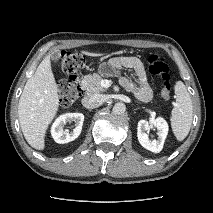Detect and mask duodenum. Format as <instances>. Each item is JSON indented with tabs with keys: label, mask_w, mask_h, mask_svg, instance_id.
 <instances>
[{
	"label": "duodenum",
	"mask_w": 213,
	"mask_h": 213,
	"mask_svg": "<svg viewBox=\"0 0 213 213\" xmlns=\"http://www.w3.org/2000/svg\"><path fill=\"white\" fill-rule=\"evenodd\" d=\"M81 90H82V92L84 93V87H83V86H81Z\"/></svg>",
	"instance_id": "duodenum-1"
}]
</instances>
